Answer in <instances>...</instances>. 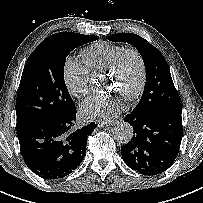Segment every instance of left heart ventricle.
Returning a JSON list of instances; mask_svg holds the SVG:
<instances>
[{
	"mask_svg": "<svg viewBox=\"0 0 203 203\" xmlns=\"http://www.w3.org/2000/svg\"><path fill=\"white\" fill-rule=\"evenodd\" d=\"M140 76V66L137 59L128 56L116 73L109 76L108 90L126 98L136 88Z\"/></svg>",
	"mask_w": 203,
	"mask_h": 203,
	"instance_id": "obj_1",
	"label": "left heart ventricle"
}]
</instances>
